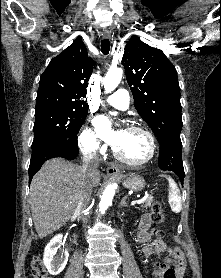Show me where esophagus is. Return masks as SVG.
Masks as SVG:
<instances>
[{
    "label": "esophagus",
    "instance_id": "esophagus-1",
    "mask_svg": "<svg viewBox=\"0 0 221 278\" xmlns=\"http://www.w3.org/2000/svg\"><path fill=\"white\" fill-rule=\"evenodd\" d=\"M102 35L104 38L108 39L111 36V32L109 30H104ZM106 172H107V175H109V176H120L121 175L119 168L115 165H110L107 168Z\"/></svg>",
    "mask_w": 221,
    "mask_h": 278
}]
</instances>
